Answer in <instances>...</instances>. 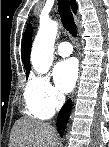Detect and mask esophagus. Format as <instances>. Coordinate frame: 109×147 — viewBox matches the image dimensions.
Instances as JSON below:
<instances>
[{"label": "esophagus", "instance_id": "esophagus-1", "mask_svg": "<svg viewBox=\"0 0 109 147\" xmlns=\"http://www.w3.org/2000/svg\"><path fill=\"white\" fill-rule=\"evenodd\" d=\"M74 17L77 18L76 14H74ZM75 93L72 95V98L74 97Z\"/></svg>", "mask_w": 109, "mask_h": 147}]
</instances>
